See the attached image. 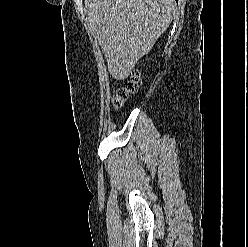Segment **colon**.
<instances>
[{"label":"colon","mask_w":248,"mask_h":247,"mask_svg":"<svg viewBox=\"0 0 248 247\" xmlns=\"http://www.w3.org/2000/svg\"><path fill=\"white\" fill-rule=\"evenodd\" d=\"M140 85V77L137 72H134L131 77L126 80L121 88L116 92L113 99V103L116 108L122 106V104L129 98L130 95L134 94Z\"/></svg>","instance_id":"obj_1"}]
</instances>
